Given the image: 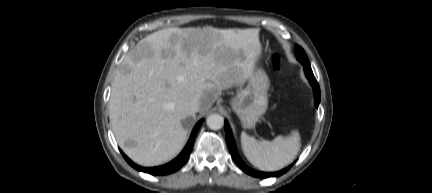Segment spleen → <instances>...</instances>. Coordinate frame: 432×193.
I'll return each instance as SVG.
<instances>
[{"instance_id": "spleen-1", "label": "spleen", "mask_w": 432, "mask_h": 193, "mask_svg": "<svg viewBox=\"0 0 432 193\" xmlns=\"http://www.w3.org/2000/svg\"><path fill=\"white\" fill-rule=\"evenodd\" d=\"M241 146L248 161L262 171H277L289 165L301 148L297 130L289 136H277L273 141H258L241 133Z\"/></svg>"}]
</instances>
